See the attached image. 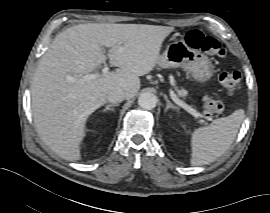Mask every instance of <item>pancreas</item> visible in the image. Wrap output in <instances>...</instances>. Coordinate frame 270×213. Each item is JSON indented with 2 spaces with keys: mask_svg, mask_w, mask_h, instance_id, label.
<instances>
[{
  "mask_svg": "<svg viewBox=\"0 0 270 213\" xmlns=\"http://www.w3.org/2000/svg\"><path fill=\"white\" fill-rule=\"evenodd\" d=\"M177 92L180 97H185L187 95V91L184 89L177 90Z\"/></svg>",
  "mask_w": 270,
  "mask_h": 213,
  "instance_id": "cf45deb5",
  "label": "pancreas"
}]
</instances>
